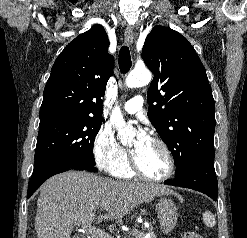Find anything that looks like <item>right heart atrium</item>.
Listing matches in <instances>:
<instances>
[{
	"mask_svg": "<svg viewBox=\"0 0 247 238\" xmlns=\"http://www.w3.org/2000/svg\"><path fill=\"white\" fill-rule=\"evenodd\" d=\"M93 156L97 166L109 173L128 161L127 152L118 144L107 125L100 126L94 137Z\"/></svg>",
	"mask_w": 247,
	"mask_h": 238,
	"instance_id": "right-heart-atrium-1",
	"label": "right heart atrium"
}]
</instances>
